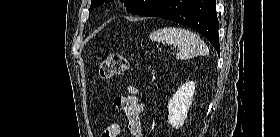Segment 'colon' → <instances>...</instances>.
<instances>
[{
    "label": "colon",
    "mask_w": 280,
    "mask_h": 137,
    "mask_svg": "<svg viewBox=\"0 0 280 137\" xmlns=\"http://www.w3.org/2000/svg\"><path fill=\"white\" fill-rule=\"evenodd\" d=\"M129 68V62L127 58L122 54H111L109 55L99 67V74L103 79H110L116 76H121L126 73ZM119 128L114 127L106 130L102 137H118Z\"/></svg>",
    "instance_id": "obj_1"
}]
</instances>
